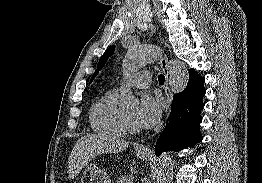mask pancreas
Here are the masks:
<instances>
[{"label": "pancreas", "instance_id": "1", "mask_svg": "<svg viewBox=\"0 0 262 183\" xmlns=\"http://www.w3.org/2000/svg\"><path fill=\"white\" fill-rule=\"evenodd\" d=\"M116 183H132V176H130V175L120 176V177L116 180Z\"/></svg>", "mask_w": 262, "mask_h": 183}]
</instances>
